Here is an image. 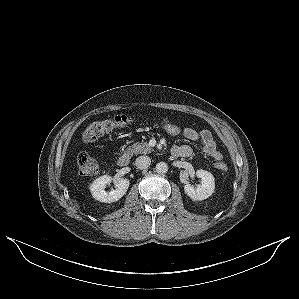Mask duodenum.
Wrapping results in <instances>:
<instances>
[{
    "mask_svg": "<svg viewBox=\"0 0 299 299\" xmlns=\"http://www.w3.org/2000/svg\"><path fill=\"white\" fill-rule=\"evenodd\" d=\"M130 159H131L130 153L124 152L119 156L117 160V164L119 167H126L129 165Z\"/></svg>",
    "mask_w": 299,
    "mask_h": 299,
    "instance_id": "obj_1",
    "label": "duodenum"
}]
</instances>
